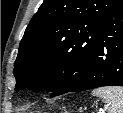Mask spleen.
Returning a JSON list of instances; mask_svg holds the SVG:
<instances>
[{
  "label": "spleen",
  "instance_id": "3e777b00",
  "mask_svg": "<svg viewBox=\"0 0 123 113\" xmlns=\"http://www.w3.org/2000/svg\"><path fill=\"white\" fill-rule=\"evenodd\" d=\"M92 95L109 105V113H123V87H101L93 90Z\"/></svg>",
  "mask_w": 123,
  "mask_h": 113
}]
</instances>
